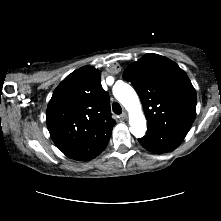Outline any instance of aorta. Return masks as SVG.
I'll use <instances>...</instances> for the list:
<instances>
[{
    "instance_id": "aorta-1",
    "label": "aorta",
    "mask_w": 221,
    "mask_h": 221,
    "mask_svg": "<svg viewBox=\"0 0 221 221\" xmlns=\"http://www.w3.org/2000/svg\"><path fill=\"white\" fill-rule=\"evenodd\" d=\"M113 95L129 113L130 132L136 137L146 133V118L135 90L127 83L121 82L113 87Z\"/></svg>"
}]
</instances>
